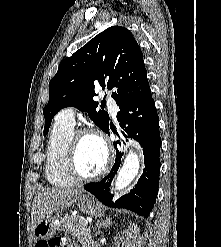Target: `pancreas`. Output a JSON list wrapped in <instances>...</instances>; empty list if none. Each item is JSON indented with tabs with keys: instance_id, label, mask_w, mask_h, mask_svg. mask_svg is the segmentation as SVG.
<instances>
[{
	"instance_id": "pancreas-1",
	"label": "pancreas",
	"mask_w": 221,
	"mask_h": 247,
	"mask_svg": "<svg viewBox=\"0 0 221 247\" xmlns=\"http://www.w3.org/2000/svg\"><path fill=\"white\" fill-rule=\"evenodd\" d=\"M60 229L65 232L66 235L70 234L76 237L82 247H90V228L81 216H71L63 218L60 221Z\"/></svg>"
}]
</instances>
